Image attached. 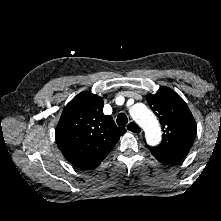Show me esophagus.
I'll list each match as a JSON object with an SVG mask.
<instances>
[{"label": "esophagus", "instance_id": "34e87169", "mask_svg": "<svg viewBox=\"0 0 221 221\" xmlns=\"http://www.w3.org/2000/svg\"><path fill=\"white\" fill-rule=\"evenodd\" d=\"M126 129L132 134L142 133V129L134 121H131L129 124H127Z\"/></svg>", "mask_w": 221, "mask_h": 221}]
</instances>
